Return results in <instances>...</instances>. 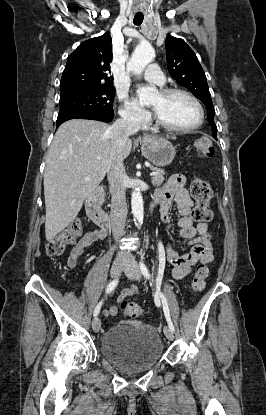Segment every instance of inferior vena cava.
Segmentation results:
<instances>
[{
  "label": "inferior vena cava",
  "mask_w": 266,
  "mask_h": 415,
  "mask_svg": "<svg viewBox=\"0 0 266 415\" xmlns=\"http://www.w3.org/2000/svg\"><path fill=\"white\" fill-rule=\"evenodd\" d=\"M138 120L132 115H124L117 119L111 126L113 155L107 171V179L111 193L110 220L113 237L118 241L124 234L125 221L127 216V203L125 197L126 178L125 167L123 164V150L128 137L139 130ZM131 253L122 251L118 257L129 258Z\"/></svg>",
  "instance_id": "602c4592"
}]
</instances>
